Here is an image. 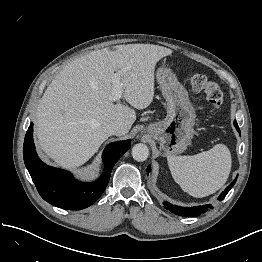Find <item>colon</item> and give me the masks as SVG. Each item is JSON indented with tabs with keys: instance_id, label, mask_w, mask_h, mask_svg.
Wrapping results in <instances>:
<instances>
[{
	"instance_id": "5ec220e1",
	"label": "colon",
	"mask_w": 262,
	"mask_h": 262,
	"mask_svg": "<svg viewBox=\"0 0 262 262\" xmlns=\"http://www.w3.org/2000/svg\"><path fill=\"white\" fill-rule=\"evenodd\" d=\"M187 80L194 90L205 92L207 101L213 109L220 108L223 92L217 83L208 80L206 75L198 72L189 74Z\"/></svg>"
}]
</instances>
